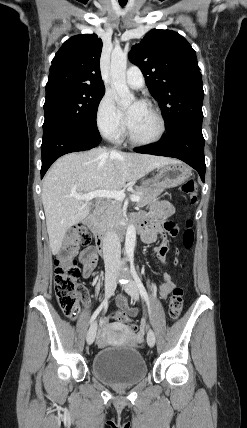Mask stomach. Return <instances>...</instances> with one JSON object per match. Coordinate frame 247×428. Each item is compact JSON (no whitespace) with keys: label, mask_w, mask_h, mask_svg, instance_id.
<instances>
[{"label":"stomach","mask_w":247,"mask_h":428,"mask_svg":"<svg viewBox=\"0 0 247 428\" xmlns=\"http://www.w3.org/2000/svg\"><path fill=\"white\" fill-rule=\"evenodd\" d=\"M191 176V170L182 162L166 164L157 169V173L144 182L145 186L155 188H173L181 185Z\"/></svg>","instance_id":"1"}]
</instances>
